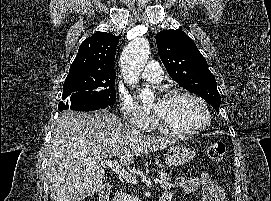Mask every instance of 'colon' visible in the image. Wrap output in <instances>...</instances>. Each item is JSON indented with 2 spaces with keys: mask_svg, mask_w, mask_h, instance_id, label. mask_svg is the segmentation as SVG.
Returning <instances> with one entry per match:
<instances>
[{
  "mask_svg": "<svg viewBox=\"0 0 271 201\" xmlns=\"http://www.w3.org/2000/svg\"><path fill=\"white\" fill-rule=\"evenodd\" d=\"M225 149L226 147L223 142H213L207 147V156L213 164L218 165L223 160Z\"/></svg>",
  "mask_w": 271,
  "mask_h": 201,
  "instance_id": "5ec220e1",
  "label": "colon"
}]
</instances>
